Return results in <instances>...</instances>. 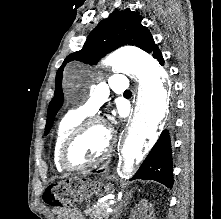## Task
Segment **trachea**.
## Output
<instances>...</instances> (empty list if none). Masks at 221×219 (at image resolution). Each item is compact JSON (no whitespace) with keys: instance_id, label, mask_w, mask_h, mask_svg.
Returning a JSON list of instances; mask_svg holds the SVG:
<instances>
[{"instance_id":"3493384b","label":"trachea","mask_w":221,"mask_h":219,"mask_svg":"<svg viewBox=\"0 0 221 219\" xmlns=\"http://www.w3.org/2000/svg\"><path fill=\"white\" fill-rule=\"evenodd\" d=\"M126 95H131L132 94V92L130 91V90H128V91H126V93H125Z\"/></svg>"}]
</instances>
